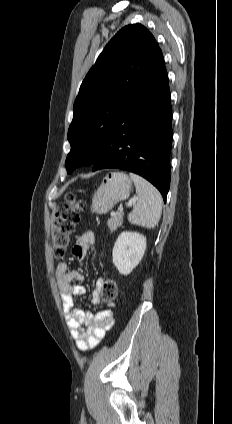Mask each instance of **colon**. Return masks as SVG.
<instances>
[{"label": "colon", "instance_id": "5ec220e1", "mask_svg": "<svg viewBox=\"0 0 232 424\" xmlns=\"http://www.w3.org/2000/svg\"><path fill=\"white\" fill-rule=\"evenodd\" d=\"M85 203L78 199L73 192H68L65 201L57 209L55 226L53 257L56 261L63 259L75 227L79 222L80 212ZM118 296V286L115 280L107 278L100 289V298L105 302H113Z\"/></svg>", "mask_w": 232, "mask_h": 424}]
</instances>
